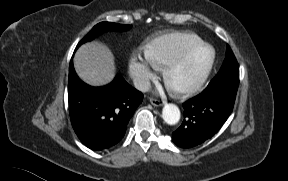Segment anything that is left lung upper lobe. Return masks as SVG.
I'll return each mask as SVG.
<instances>
[{"label":"left lung upper lobe","instance_id":"left-lung-upper-lobe-1","mask_svg":"<svg viewBox=\"0 0 288 181\" xmlns=\"http://www.w3.org/2000/svg\"><path fill=\"white\" fill-rule=\"evenodd\" d=\"M239 85V66L237 60L227 45L226 58L218 74L208 84L205 92L219 91L236 96Z\"/></svg>","mask_w":288,"mask_h":181}]
</instances>
